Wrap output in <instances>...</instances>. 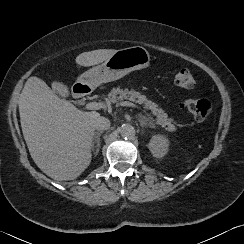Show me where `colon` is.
<instances>
[{
  "instance_id": "colon-1",
  "label": "colon",
  "mask_w": 244,
  "mask_h": 244,
  "mask_svg": "<svg viewBox=\"0 0 244 244\" xmlns=\"http://www.w3.org/2000/svg\"><path fill=\"white\" fill-rule=\"evenodd\" d=\"M173 83L176 88L191 89L196 81L189 70L182 69L175 75ZM183 105L197 121L207 120L214 111L213 104L205 99L188 97L184 99Z\"/></svg>"
}]
</instances>
